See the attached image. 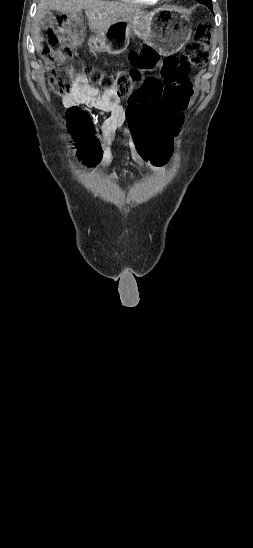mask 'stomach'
Listing matches in <instances>:
<instances>
[{"mask_svg":"<svg viewBox=\"0 0 253 548\" xmlns=\"http://www.w3.org/2000/svg\"><path fill=\"white\" fill-rule=\"evenodd\" d=\"M133 34L162 55H169L180 50L190 39L191 29L188 17L176 8L162 7L150 12L141 10L105 33L94 36L91 49L97 53L121 54Z\"/></svg>","mask_w":253,"mask_h":548,"instance_id":"obj_1","label":"stomach"}]
</instances>
